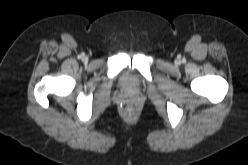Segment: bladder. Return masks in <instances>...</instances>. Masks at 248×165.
Returning <instances> with one entry per match:
<instances>
[{
	"label": "bladder",
	"mask_w": 248,
	"mask_h": 165,
	"mask_svg": "<svg viewBox=\"0 0 248 165\" xmlns=\"http://www.w3.org/2000/svg\"><path fill=\"white\" fill-rule=\"evenodd\" d=\"M122 86L129 93H136L140 90V84L135 75L126 73L122 77Z\"/></svg>",
	"instance_id": "obj_1"
}]
</instances>
